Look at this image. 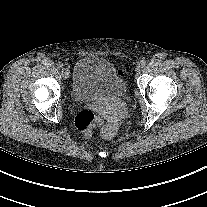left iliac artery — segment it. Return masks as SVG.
<instances>
[{
  "instance_id": "left-iliac-artery-1",
  "label": "left iliac artery",
  "mask_w": 207,
  "mask_h": 207,
  "mask_svg": "<svg viewBox=\"0 0 207 207\" xmlns=\"http://www.w3.org/2000/svg\"><path fill=\"white\" fill-rule=\"evenodd\" d=\"M140 64L142 65V67H144L146 65V61L145 60H141Z\"/></svg>"
}]
</instances>
